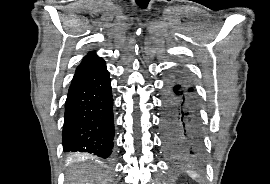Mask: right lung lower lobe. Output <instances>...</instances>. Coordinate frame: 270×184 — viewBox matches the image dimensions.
<instances>
[{
  "mask_svg": "<svg viewBox=\"0 0 270 184\" xmlns=\"http://www.w3.org/2000/svg\"><path fill=\"white\" fill-rule=\"evenodd\" d=\"M113 99L102 58L81 63L65 103L63 150L107 159L114 138Z\"/></svg>",
  "mask_w": 270,
  "mask_h": 184,
  "instance_id": "obj_1",
  "label": "right lung lower lobe"
}]
</instances>
